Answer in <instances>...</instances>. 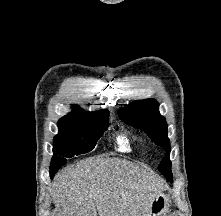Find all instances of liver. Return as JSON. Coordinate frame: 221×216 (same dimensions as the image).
<instances>
[{
	"instance_id": "obj_1",
	"label": "liver",
	"mask_w": 221,
	"mask_h": 216,
	"mask_svg": "<svg viewBox=\"0 0 221 216\" xmlns=\"http://www.w3.org/2000/svg\"><path fill=\"white\" fill-rule=\"evenodd\" d=\"M164 182L152 170L118 158L90 157L54 178L58 216H146Z\"/></svg>"
}]
</instances>
